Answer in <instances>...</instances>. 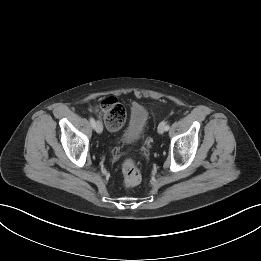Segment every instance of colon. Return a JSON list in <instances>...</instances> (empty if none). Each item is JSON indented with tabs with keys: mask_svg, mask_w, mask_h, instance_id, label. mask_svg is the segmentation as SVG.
Returning a JSON list of instances; mask_svg holds the SVG:
<instances>
[{
	"mask_svg": "<svg viewBox=\"0 0 261 261\" xmlns=\"http://www.w3.org/2000/svg\"><path fill=\"white\" fill-rule=\"evenodd\" d=\"M99 112L101 113L105 124L111 130H117L125 123L126 110L114 97L104 99L99 105ZM122 178L127 187H134L141 182V171L133 160L127 159L123 162Z\"/></svg>",
	"mask_w": 261,
	"mask_h": 261,
	"instance_id": "colon-1",
	"label": "colon"
}]
</instances>
